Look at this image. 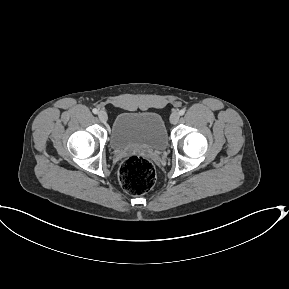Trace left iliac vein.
Masks as SVG:
<instances>
[{
  "label": "left iliac vein",
  "mask_w": 289,
  "mask_h": 289,
  "mask_svg": "<svg viewBox=\"0 0 289 289\" xmlns=\"http://www.w3.org/2000/svg\"><path fill=\"white\" fill-rule=\"evenodd\" d=\"M180 119V114L178 112H173L170 116L171 124H177Z\"/></svg>",
  "instance_id": "4c4485c4"
}]
</instances>
